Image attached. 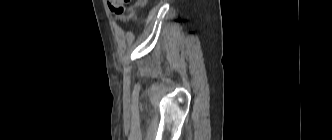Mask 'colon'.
I'll return each instance as SVG.
<instances>
[{
    "label": "colon",
    "instance_id": "colon-1",
    "mask_svg": "<svg viewBox=\"0 0 332 140\" xmlns=\"http://www.w3.org/2000/svg\"><path fill=\"white\" fill-rule=\"evenodd\" d=\"M133 0H108V6L110 10L116 15H122L127 4ZM145 3V0H136V6L141 7Z\"/></svg>",
    "mask_w": 332,
    "mask_h": 140
}]
</instances>
